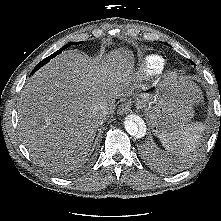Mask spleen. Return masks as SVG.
Returning a JSON list of instances; mask_svg holds the SVG:
<instances>
[{
    "instance_id": "1",
    "label": "spleen",
    "mask_w": 221,
    "mask_h": 221,
    "mask_svg": "<svg viewBox=\"0 0 221 221\" xmlns=\"http://www.w3.org/2000/svg\"><path fill=\"white\" fill-rule=\"evenodd\" d=\"M202 125L199 123L188 124L177 130L159 136L163 146L179 155L191 154L199 144V132Z\"/></svg>"
}]
</instances>
